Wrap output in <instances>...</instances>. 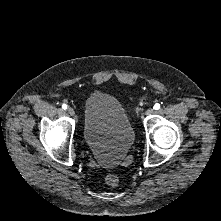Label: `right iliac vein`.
Instances as JSON below:
<instances>
[{"mask_svg":"<svg viewBox=\"0 0 221 221\" xmlns=\"http://www.w3.org/2000/svg\"><path fill=\"white\" fill-rule=\"evenodd\" d=\"M68 114L70 115V116H74L75 115V111H74V109L73 108H68Z\"/></svg>","mask_w":221,"mask_h":221,"instance_id":"right-iliac-vein-1","label":"right iliac vein"}]
</instances>
